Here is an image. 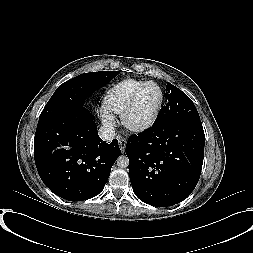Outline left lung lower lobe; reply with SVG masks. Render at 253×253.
<instances>
[{
    "label": "left lung lower lobe",
    "mask_w": 253,
    "mask_h": 253,
    "mask_svg": "<svg viewBox=\"0 0 253 253\" xmlns=\"http://www.w3.org/2000/svg\"><path fill=\"white\" fill-rule=\"evenodd\" d=\"M204 145L200 120L172 121L131 136L126 154L136 196L157 207L183 201L199 180Z\"/></svg>",
    "instance_id": "left-lung-lower-lobe-1"
}]
</instances>
